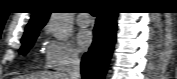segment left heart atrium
<instances>
[{
	"instance_id": "left-heart-atrium-1",
	"label": "left heart atrium",
	"mask_w": 177,
	"mask_h": 79,
	"mask_svg": "<svg viewBox=\"0 0 177 79\" xmlns=\"http://www.w3.org/2000/svg\"><path fill=\"white\" fill-rule=\"evenodd\" d=\"M93 43V35L89 30H81L77 35V44L81 51H85L91 47Z\"/></svg>"
}]
</instances>
